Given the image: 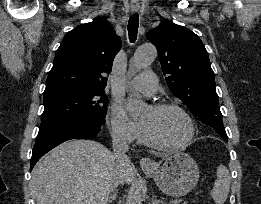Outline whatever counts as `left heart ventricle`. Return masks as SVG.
<instances>
[{
	"label": "left heart ventricle",
	"instance_id": "left-heart-ventricle-1",
	"mask_svg": "<svg viewBox=\"0 0 261 204\" xmlns=\"http://www.w3.org/2000/svg\"><path fill=\"white\" fill-rule=\"evenodd\" d=\"M140 122L163 143L175 145L183 142L189 133V127L183 115L174 109L154 111L148 107Z\"/></svg>",
	"mask_w": 261,
	"mask_h": 204
}]
</instances>
